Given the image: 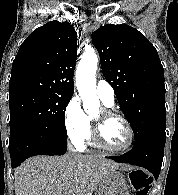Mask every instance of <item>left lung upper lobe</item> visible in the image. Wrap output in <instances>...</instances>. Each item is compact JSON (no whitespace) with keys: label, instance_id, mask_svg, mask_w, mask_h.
Segmentation results:
<instances>
[{"label":"left lung upper lobe","instance_id":"1","mask_svg":"<svg viewBox=\"0 0 178 195\" xmlns=\"http://www.w3.org/2000/svg\"><path fill=\"white\" fill-rule=\"evenodd\" d=\"M91 37L103 75L133 128L134 147L166 138L164 70L155 47L126 24L105 25Z\"/></svg>","mask_w":178,"mask_h":195}]
</instances>
